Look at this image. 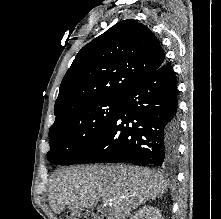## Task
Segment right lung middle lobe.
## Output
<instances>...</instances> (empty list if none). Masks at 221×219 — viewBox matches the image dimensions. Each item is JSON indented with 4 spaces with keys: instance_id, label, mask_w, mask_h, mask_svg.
I'll use <instances>...</instances> for the list:
<instances>
[{
    "instance_id": "right-lung-middle-lobe-1",
    "label": "right lung middle lobe",
    "mask_w": 221,
    "mask_h": 219,
    "mask_svg": "<svg viewBox=\"0 0 221 219\" xmlns=\"http://www.w3.org/2000/svg\"><path fill=\"white\" fill-rule=\"evenodd\" d=\"M121 98H104L76 106L56 118L49 130L48 160L63 165L81 153L104 130Z\"/></svg>"
}]
</instances>
